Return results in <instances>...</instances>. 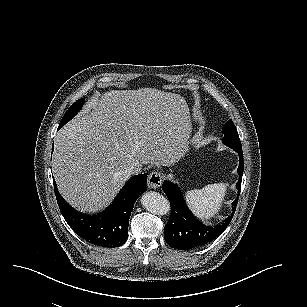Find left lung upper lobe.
Instances as JSON below:
<instances>
[{
    "instance_id": "left-lung-upper-lobe-1",
    "label": "left lung upper lobe",
    "mask_w": 307,
    "mask_h": 307,
    "mask_svg": "<svg viewBox=\"0 0 307 307\" xmlns=\"http://www.w3.org/2000/svg\"><path fill=\"white\" fill-rule=\"evenodd\" d=\"M223 132L225 134L223 141L227 146L234 150L242 149L237 129L231 119L224 125Z\"/></svg>"
}]
</instances>
